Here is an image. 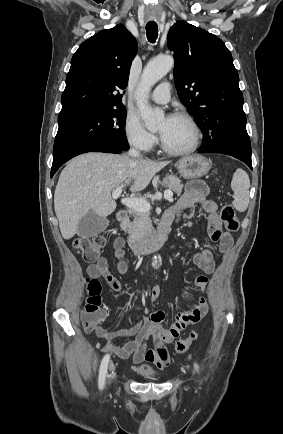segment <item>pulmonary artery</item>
Wrapping results in <instances>:
<instances>
[{
    "label": "pulmonary artery",
    "mask_w": 283,
    "mask_h": 434,
    "mask_svg": "<svg viewBox=\"0 0 283 434\" xmlns=\"http://www.w3.org/2000/svg\"><path fill=\"white\" fill-rule=\"evenodd\" d=\"M170 99V84L163 82L159 84L151 94V100L158 104H166Z\"/></svg>",
    "instance_id": "pulmonary-artery-1"
}]
</instances>
